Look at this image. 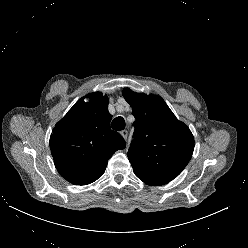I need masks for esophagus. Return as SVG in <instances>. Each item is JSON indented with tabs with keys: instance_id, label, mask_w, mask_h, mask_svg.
<instances>
[{
	"instance_id": "1",
	"label": "esophagus",
	"mask_w": 248,
	"mask_h": 248,
	"mask_svg": "<svg viewBox=\"0 0 248 248\" xmlns=\"http://www.w3.org/2000/svg\"><path fill=\"white\" fill-rule=\"evenodd\" d=\"M120 134H121V136H122L125 140H127V136H128V131H127V130H122V131L120 132Z\"/></svg>"
}]
</instances>
